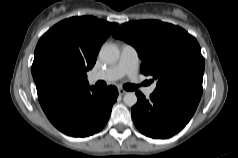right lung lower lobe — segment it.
<instances>
[{
	"label": "right lung lower lobe",
	"instance_id": "98d812e1",
	"mask_svg": "<svg viewBox=\"0 0 238 158\" xmlns=\"http://www.w3.org/2000/svg\"><path fill=\"white\" fill-rule=\"evenodd\" d=\"M38 99L50 122L73 137L99 132L107 123L118 90L114 86L97 89L43 80L36 84Z\"/></svg>",
	"mask_w": 238,
	"mask_h": 158
}]
</instances>
